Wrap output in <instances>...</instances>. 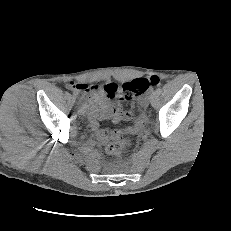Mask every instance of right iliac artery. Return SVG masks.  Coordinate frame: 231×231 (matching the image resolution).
<instances>
[{"label":"right iliac artery","instance_id":"1","mask_svg":"<svg viewBox=\"0 0 231 231\" xmlns=\"http://www.w3.org/2000/svg\"><path fill=\"white\" fill-rule=\"evenodd\" d=\"M73 96H74V97H77V96H78V93L74 91V92H73Z\"/></svg>","mask_w":231,"mask_h":231}]
</instances>
